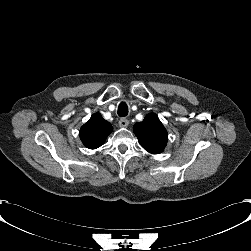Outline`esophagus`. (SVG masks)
<instances>
[{
	"instance_id": "34e87169",
	"label": "esophagus",
	"mask_w": 251,
	"mask_h": 251,
	"mask_svg": "<svg viewBox=\"0 0 251 251\" xmlns=\"http://www.w3.org/2000/svg\"><path fill=\"white\" fill-rule=\"evenodd\" d=\"M129 125V121L126 118H120L119 126L120 127H127Z\"/></svg>"
}]
</instances>
